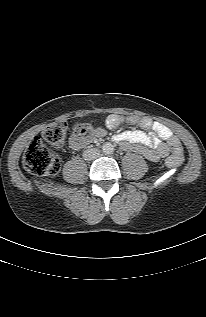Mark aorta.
<instances>
[{"label":"aorta","instance_id":"1","mask_svg":"<svg viewBox=\"0 0 206 317\" xmlns=\"http://www.w3.org/2000/svg\"><path fill=\"white\" fill-rule=\"evenodd\" d=\"M102 151L104 154H107V155L112 154L114 151V146L111 143L107 142L103 144Z\"/></svg>","mask_w":206,"mask_h":317}]
</instances>
